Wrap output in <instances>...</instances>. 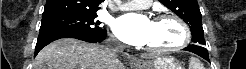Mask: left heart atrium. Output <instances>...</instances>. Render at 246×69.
I'll return each mask as SVG.
<instances>
[{
    "instance_id": "39dd6f15",
    "label": "left heart atrium",
    "mask_w": 246,
    "mask_h": 69,
    "mask_svg": "<svg viewBox=\"0 0 246 69\" xmlns=\"http://www.w3.org/2000/svg\"><path fill=\"white\" fill-rule=\"evenodd\" d=\"M151 23L143 14L128 13L114 21L113 30L122 42L142 46L147 42Z\"/></svg>"
}]
</instances>
